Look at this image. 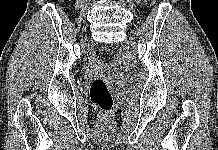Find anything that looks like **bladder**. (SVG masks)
<instances>
[{"instance_id": "31cf9c89", "label": "bladder", "mask_w": 218, "mask_h": 150, "mask_svg": "<svg viewBox=\"0 0 218 150\" xmlns=\"http://www.w3.org/2000/svg\"><path fill=\"white\" fill-rule=\"evenodd\" d=\"M95 68L98 69V70H101L103 72H108V71L111 70L112 67L107 63H102L101 62V63L95 64Z\"/></svg>"}]
</instances>
